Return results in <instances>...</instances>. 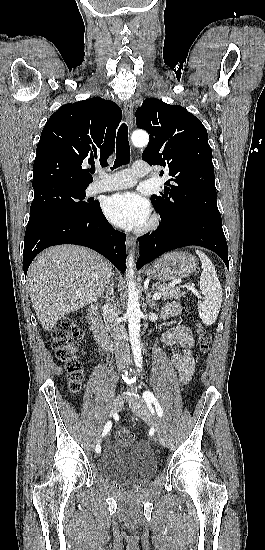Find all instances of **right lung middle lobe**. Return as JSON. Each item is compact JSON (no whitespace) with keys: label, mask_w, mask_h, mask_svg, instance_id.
I'll use <instances>...</instances> for the list:
<instances>
[{"label":"right lung middle lobe","mask_w":265,"mask_h":550,"mask_svg":"<svg viewBox=\"0 0 265 550\" xmlns=\"http://www.w3.org/2000/svg\"><path fill=\"white\" fill-rule=\"evenodd\" d=\"M85 189H73L62 185H48L34 189L29 220L51 214L87 213L96 203L84 201Z\"/></svg>","instance_id":"1"}]
</instances>
